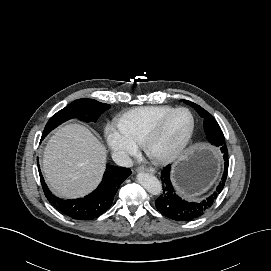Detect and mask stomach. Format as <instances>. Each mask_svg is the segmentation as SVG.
<instances>
[{
  "instance_id": "1",
  "label": "stomach",
  "mask_w": 271,
  "mask_h": 271,
  "mask_svg": "<svg viewBox=\"0 0 271 271\" xmlns=\"http://www.w3.org/2000/svg\"><path fill=\"white\" fill-rule=\"evenodd\" d=\"M220 159L217 153L205 146L191 148L176 163L173 180L178 192L195 197L206 191L218 176Z\"/></svg>"
}]
</instances>
